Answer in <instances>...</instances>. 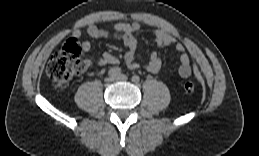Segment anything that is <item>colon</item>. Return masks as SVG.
Instances as JSON below:
<instances>
[{"label": "colon", "mask_w": 259, "mask_h": 156, "mask_svg": "<svg viewBox=\"0 0 259 156\" xmlns=\"http://www.w3.org/2000/svg\"><path fill=\"white\" fill-rule=\"evenodd\" d=\"M82 48L76 40L67 41L49 60L46 73L58 90L67 88L74 76L86 70L89 62L81 57ZM186 94L194 92V84L187 81L183 86Z\"/></svg>", "instance_id": "1"}]
</instances>
